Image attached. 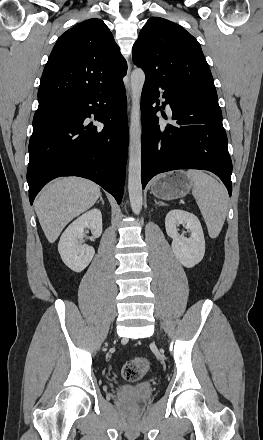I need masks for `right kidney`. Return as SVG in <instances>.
<instances>
[{"mask_svg": "<svg viewBox=\"0 0 263 440\" xmlns=\"http://www.w3.org/2000/svg\"><path fill=\"white\" fill-rule=\"evenodd\" d=\"M86 228L91 229L95 238L102 234V214L99 209H91L73 221L62 234L58 244L62 261L75 272L83 271L95 254L93 247L79 244Z\"/></svg>", "mask_w": 263, "mask_h": 440, "instance_id": "ca27d5eb", "label": "right kidney"}]
</instances>
